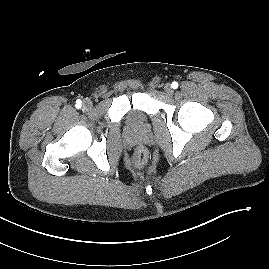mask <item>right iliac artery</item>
<instances>
[{"label":"right iliac artery","instance_id":"82829eb1","mask_svg":"<svg viewBox=\"0 0 269 269\" xmlns=\"http://www.w3.org/2000/svg\"><path fill=\"white\" fill-rule=\"evenodd\" d=\"M81 103H82L81 100H77L76 101V107L77 108H80L81 107Z\"/></svg>","mask_w":269,"mask_h":269}]
</instances>
